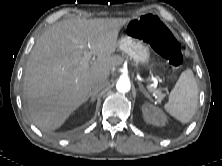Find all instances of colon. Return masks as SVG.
Instances as JSON below:
<instances>
[{
	"label": "colon",
	"instance_id": "obj_1",
	"mask_svg": "<svg viewBox=\"0 0 222 166\" xmlns=\"http://www.w3.org/2000/svg\"><path fill=\"white\" fill-rule=\"evenodd\" d=\"M127 34L148 43L163 56L174 69L183 63V54L179 42L169 28L156 16L144 14L127 26Z\"/></svg>",
	"mask_w": 222,
	"mask_h": 166
}]
</instances>
